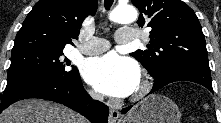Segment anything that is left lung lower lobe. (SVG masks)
<instances>
[{"mask_svg":"<svg viewBox=\"0 0 221 123\" xmlns=\"http://www.w3.org/2000/svg\"><path fill=\"white\" fill-rule=\"evenodd\" d=\"M175 81H191L203 85L208 90L213 92L210 68L196 64H183L168 68L155 78L154 86L150 93H153L169 83ZM127 107L122 110L126 113L130 108Z\"/></svg>","mask_w":221,"mask_h":123,"instance_id":"0a47b994","label":"left lung lower lobe"}]
</instances>
